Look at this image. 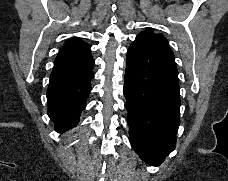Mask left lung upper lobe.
<instances>
[{"label":"left lung upper lobe","instance_id":"left-lung-upper-lobe-1","mask_svg":"<svg viewBox=\"0 0 228 181\" xmlns=\"http://www.w3.org/2000/svg\"><path fill=\"white\" fill-rule=\"evenodd\" d=\"M137 37L148 38L164 45L168 44V41L161 34L153 33L152 29L141 32Z\"/></svg>","mask_w":228,"mask_h":181}]
</instances>
